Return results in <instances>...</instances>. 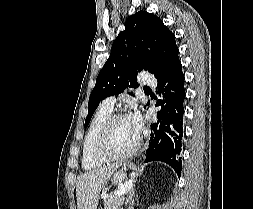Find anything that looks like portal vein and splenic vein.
Wrapping results in <instances>:
<instances>
[{"label":"portal vein and splenic vein","mask_w":253,"mask_h":209,"mask_svg":"<svg viewBox=\"0 0 253 209\" xmlns=\"http://www.w3.org/2000/svg\"><path fill=\"white\" fill-rule=\"evenodd\" d=\"M132 187V180H129L126 182L125 185H123L116 193L117 196L125 194L128 190H130Z\"/></svg>","instance_id":"1"}]
</instances>
